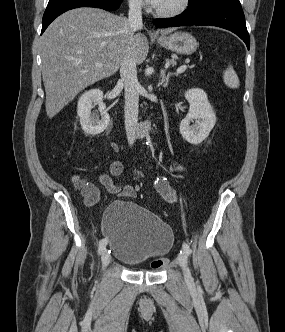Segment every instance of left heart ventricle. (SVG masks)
<instances>
[{
	"instance_id": "1",
	"label": "left heart ventricle",
	"mask_w": 285,
	"mask_h": 332,
	"mask_svg": "<svg viewBox=\"0 0 285 332\" xmlns=\"http://www.w3.org/2000/svg\"><path fill=\"white\" fill-rule=\"evenodd\" d=\"M181 0H163L158 7L160 10H171L176 8L180 4Z\"/></svg>"
}]
</instances>
